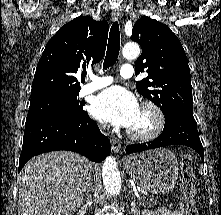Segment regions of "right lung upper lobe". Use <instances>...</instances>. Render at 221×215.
Listing matches in <instances>:
<instances>
[{"mask_svg":"<svg viewBox=\"0 0 221 215\" xmlns=\"http://www.w3.org/2000/svg\"><path fill=\"white\" fill-rule=\"evenodd\" d=\"M108 23L80 16L62 26L49 40L38 62L31 101L80 91L76 75L99 62L105 53Z\"/></svg>","mask_w":221,"mask_h":215,"instance_id":"obj_1","label":"right lung upper lobe"}]
</instances>
